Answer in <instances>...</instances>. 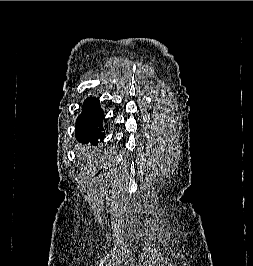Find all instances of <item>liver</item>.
<instances>
[{
    "label": "liver",
    "mask_w": 253,
    "mask_h": 266,
    "mask_svg": "<svg viewBox=\"0 0 253 266\" xmlns=\"http://www.w3.org/2000/svg\"><path fill=\"white\" fill-rule=\"evenodd\" d=\"M81 153H82L83 157H87L88 156L84 149H83V151Z\"/></svg>",
    "instance_id": "6515ba94"
}]
</instances>
